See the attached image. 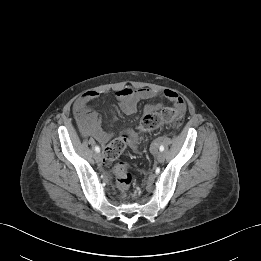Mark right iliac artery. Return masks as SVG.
<instances>
[{"label":"right iliac artery","mask_w":261,"mask_h":261,"mask_svg":"<svg viewBox=\"0 0 261 261\" xmlns=\"http://www.w3.org/2000/svg\"><path fill=\"white\" fill-rule=\"evenodd\" d=\"M95 151H96V152H100L99 146H95Z\"/></svg>","instance_id":"82829eb1"}]
</instances>
